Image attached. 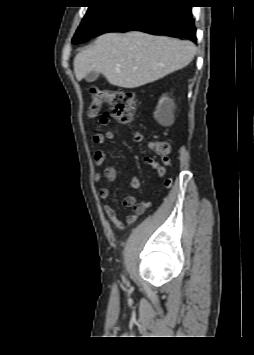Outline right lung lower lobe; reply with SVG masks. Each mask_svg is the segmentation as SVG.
Returning a JSON list of instances; mask_svg holds the SVG:
<instances>
[{
    "label": "right lung lower lobe",
    "instance_id": "right-lung-lower-lobe-1",
    "mask_svg": "<svg viewBox=\"0 0 254 355\" xmlns=\"http://www.w3.org/2000/svg\"><path fill=\"white\" fill-rule=\"evenodd\" d=\"M188 0H133L120 4L94 36L107 32L141 31L196 42V29ZM87 40H72L78 44Z\"/></svg>",
    "mask_w": 254,
    "mask_h": 355
}]
</instances>
